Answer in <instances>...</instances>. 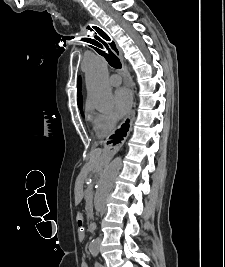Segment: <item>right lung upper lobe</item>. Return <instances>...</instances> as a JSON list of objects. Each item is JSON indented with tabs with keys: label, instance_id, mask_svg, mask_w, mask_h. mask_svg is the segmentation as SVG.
Here are the masks:
<instances>
[{
	"label": "right lung upper lobe",
	"instance_id": "right-lung-upper-lobe-1",
	"mask_svg": "<svg viewBox=\"0 0 225 267\" xmlns=\"http://www.w3.org/2000/svg\"><path fill=\"white\" fill-rule=\"evenodd\" d=\"M77 89H78V91H77V93H78L77 102H78L79 109H82L81 78L80 77L78 79Z\"/></svg>",
	"mask_w": 225,
	"mask_h": 267
}]
</instances>
